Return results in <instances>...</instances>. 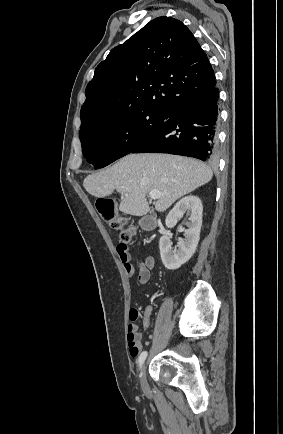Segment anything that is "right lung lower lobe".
I'll return each mask as SVG.
<instances>
[{"label":"right lung lower lobe","mask_w":283,"mask_h":434,"mask_svg":"<svg viewBox=\"0 0 283 434\" xmlns=\"http://www.w3.org/2000/svg\"><path fill=\"white\" fill-rule=\"evenodd\" d=\"M219 93L214 86L168 112L165 122L131 153H169L214 162Z\"/></svg>","instance_id":"right-lung-lower-lobe-1"}]
</instances>
